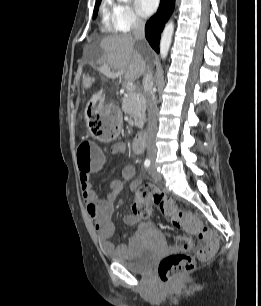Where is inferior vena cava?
Here are the masks:
<instances>
[{
  "mask_svg": "<svg viewBox=\"0 0 261 306\" xmlns=\"http://www.w3.org/2000/svg\"><path fill=\"white\" fill-rule=\"evenodd\" d=\"M145 22L141 18H136L132 25L133 37L136 40L144 39ZM143 85L145 88V97L148 111V126H147V153L149 156L156 155V148L154 143V135L157 129V99L153 91V74L147 71L143 78Z\"/></svg>",
  "mask_w": 261,
  "mask_h": 306,
  "instance_id": "602c4592",
  "label": "inferior vena cava"
}]
</instances>
